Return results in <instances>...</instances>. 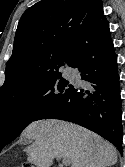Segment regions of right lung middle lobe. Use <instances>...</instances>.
I'll return each mask as SVG.
<instances>
[{"mask_svg":"<svg viewBox=\"0 0 125 167\" xmlns=\"http://www.w3.org/2000/svg\"><path fill=\"white\" fill-rule=\"evenodd\" d=\"M57 74L30 89L0 100V146L12 142L49 104L62 100L72 89Z\"/></svg>","mask_w":125,"mask_h":167,"instance_id":"obj_1","label":"right lung middle lobe"}]
</instances>
